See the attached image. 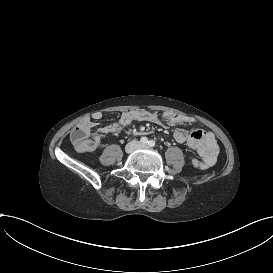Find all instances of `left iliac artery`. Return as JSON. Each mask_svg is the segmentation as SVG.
<instances>
[{
    "label": "left iliac artery",
    "mask_w": 273,
    "mask_h": 273,
    "mask_svg": "<svg viewBox=\"0 0 273 273\" xmlns=\"http://www.w3.org/2000/svg\"><path fill=\"white\" fill-rule=\"evenodd\" d=\"M148 145H149L150 147H154V146H155V141H154V140H150V141L148 142Z\"/></svg>",
    "instance_id": "1"
}]
</instances>
